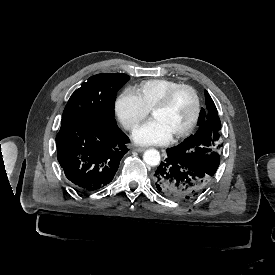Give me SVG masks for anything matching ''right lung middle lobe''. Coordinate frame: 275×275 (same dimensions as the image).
I'll return each mask as SVG.
<instances>
[{
  "instance_id": "right-lung-middle-lobe-1",
  "label": "right lung middle lobe",
  "mask_w": 275,
  "mask_h": 275,
  "mask_svg": "<svg viewBox=\"0 0 275 275\" xmlns=\"http://www.w3.org/2000/svg\"><path fill=\"white\" fill-rule=\"evenodd\" d=\"M129 80L119 73L97 74L77 89L68 100L62 121L83 120L99 128L116 127L114 105L117 91Z\"/></svg>"
}]
</instances>
